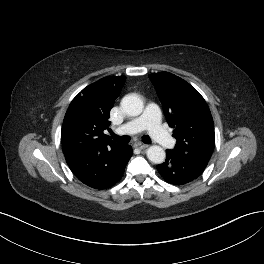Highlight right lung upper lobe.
Instances as JSON below:
<instances>
[{"instance_id":"cb5924a9","label":"right lung upper lobe","mask_w":264,"mask_h":264,"mask_svg":"<svg viewBox=\"0 0 264 264\" xmlns=\"http://www.w3.org/2000/svg\"><path fill=\"white\" fill-rule=\"evenodd\" d=\"M125 76H107L84 88L71 102L62 125L64 155L119 146L103 133Z\"/></svg>"}]
</instances>
